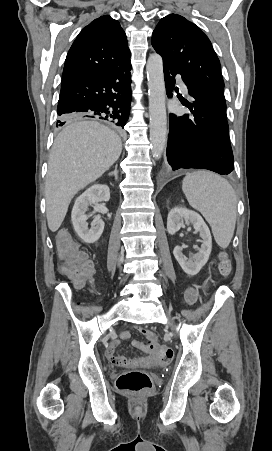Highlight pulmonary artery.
Here are the masks:
<instances>
[{
	"mask_svg": "<svg viewBox=\"0 0 272 451\" xmlns=\"http://www.w3.org/2000/svg\"><path fill=\"white\" fill-rule=\"evenodd\" d=\"M178 90L181 92V95L183 96V99L185 101H190L192 99V94L190 93V90L186 87L185 82L183 80H180L178 82Z\"/></svg>",
	"mask_w": 272,
	"mask_h": 451,
	"instance_id": "e3ab8cb5",
	"label": "pulmonary artery"
}]
</instances>
